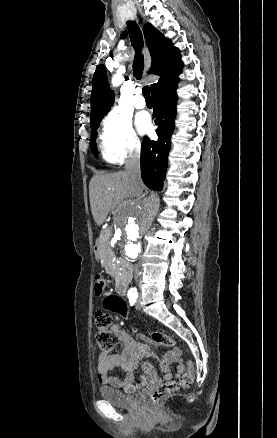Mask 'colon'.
Segmentation results:
<instances>
[{
    "mask_svg": "<svg viewBox=\"0 0 277 438\" xmlns=\"http://www.w3.org/2000/svg\"><path fill=\"white\" fill-rule=\"evenodd\" d=\"M94 294L96 297H100L104 294L108 287V282L105 276L96 272L95 276ZM112 322V316L108 312L96 311L94 315L95 327L98 329L96 333V343L101 352H110L114 349L118 343L117 334L107 330ZM149 340L156 344H163L168 347L176 345L175 340L172 337L165 336L159 331H151L149 333ZM193 382V372L188 370L184 372L178 380H165L164 386L160 389H150L147 396L149 409H156L157 402H163L165 397L172 395L180 388L189 387Z\"/></svg>",
    "mask_w": 277,
    "mask_h": 438,
    "instance_id": "1",
    "label": "colon"
}]
</instances>
